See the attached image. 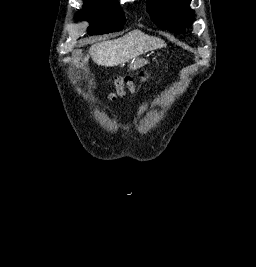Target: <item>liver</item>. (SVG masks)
I'll return each instance as SVG.
<instances>
[{
  "instance_id": "obj_1",
  "label": "liver",
  "mask_w": 256,
  "mask_h": 267,
  "mask_svg": "<svg viewBox=\"0 0 256 267\" xmlns=\"http://www.w3.org/2000/svg\"><path fill=\"white\" fill-rule=\"evenodd\" d=\"M157 48H166L165 42L160 38L147 36L141 30H133V32H128L126 36L117 38V40L93 44L89 54L97 66H105V68L110 66L112 68V66L126 64L129 60H134L141 54L157 50ZM88 58L89 56H86L85 62H88Z\"/></svg>"
}]
</instances>
